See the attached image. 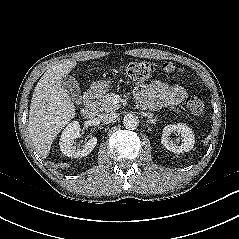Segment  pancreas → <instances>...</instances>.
Wrapping results in <instances>:
<instances>
[{"mask_svg":"<svg viewBox=\"0 0 239 239\" xmlns=\"http://www.w3.org/2000/svg\"><path fill=\"white\" fill-rule=\"evenodd\" d=\"M114 93H107L105 95H101L98 98L97 105L100 111H115L118 110L121 105L119 103L114 102ZM177 112H179L177 110Z\"/></svg>","mask_w":239,"mask_h":239,"instance_id":"pancreas-1","label":"pancreas"}]
</instances>
